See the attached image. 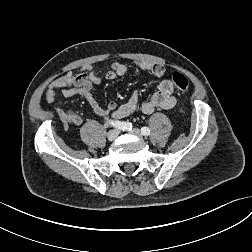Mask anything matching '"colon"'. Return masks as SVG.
<instances>
[{
	"label": "colon",
	"instance_id": "5ec220e1",
	"mask_svg": "<svg viewBox=\"0 0 252 252\" xmlns=\"http://www.w3.org/2000/svg\"><path fill=\"white\" fill-rule=\"evenodd\" d=\"M168 79L175 85L179 90H186L189 87L188 79L180 72H172L168 75Z\"/></svg>",
	"mask_w": 252,
	"mask_h": 252
}]
</instances>
